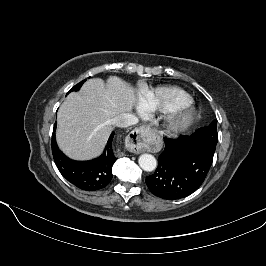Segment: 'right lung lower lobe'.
Here are the masks:
<instances>
[{"label":"right lung lower lobe","instance_id":"98d812e1","mask_svg":"<svg viewBox=\"0 0 266 266\" xmlns=\"http://www.w3.org/2000/svg\"><path fill=\"white\" fill-rule=\"evenodd\" d=\"M54 126L52 135V153L55 164L65 179L79 189L95 191L104 188L112 179V166L117 160L113 152L111 134L104 153L90 161H74L65 156L58 148Z\"/></svg>","mask_w":266,"mask_h":266}]
</instances>
